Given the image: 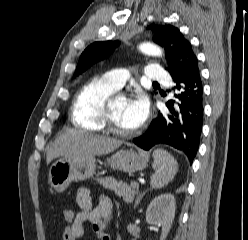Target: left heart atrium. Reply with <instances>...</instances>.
Wrapping results in <instances>:
<instances>
[{"label":"left heart atrium","mask_w":248,"mask_h":240,"mask_svg":"<svg viewBox=\"0 0 248 240\" xmlns=\"http://www.w3.org/2000/svg\"><path fill=\"white\" fill-rule=\"evenodd\" d=\"M126 115L129 123L134 128L139 127L145 122L148 116V100L142 92L137 91L129 100Z\"/></svg>","instance_id":"obj_1"}]
</instances>
